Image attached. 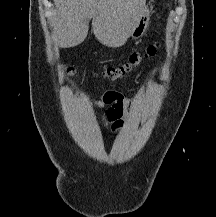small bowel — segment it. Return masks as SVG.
<instances>
[{
    "instance_id": "c3829d8e",
    "label": "small bowel",
    "mask_w": 216,
    "mask_h": 217,
    "mask_svg": "<svg viewBox=\"0 0 216 217\" xmlns=\"http://www.w3.org/2000/svg\"><path fill=\"white\" fill-rule=\"evenodd\" d=\"M144 105L146 103L143 98H134L124 95L119 91L109 90L103 93L100 98L95 101L97 108L102 109L105 105L109 108L103 113L101 122L107 124L110 122H120L122 119L134 118L133 114L128 111L131 103Z\"/></svg>"
}]
</instances>
